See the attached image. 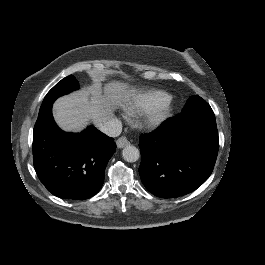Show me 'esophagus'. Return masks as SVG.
<instances>
[{
  "label": "esophagus",
  "mask_w": 265,
  "mask_h": 265,
  "mask_svg": "<svg viewBox=\"0 0 265 265\" xmlns=\"http://www.w3.org/2000/svg\"><path fill=\"white\" fill-rule=\"evenodd\" d=\"M116 143L118 148H123L129 144V141L126 137H120L117 139Z\"/></svg>",
  "instance_id": "34e87169"
}]
</instances>
